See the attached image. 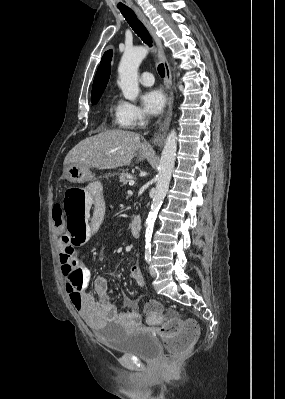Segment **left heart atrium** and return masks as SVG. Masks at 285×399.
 Segmentation results:
<instances>
[{"label":"left heart atrium","mask_w":285,"mask_h":399,"mask_svg":"<svg viewBox=\"0 0 285 399\" xmlns=\"http://www.w3.org/2000/svg\"><path fill=\"white\" fill-rule=\"evenodd\" d=\"M165 102V96L158 89L149 90L142 96L143 106L151 115L159 114L163 110Z\"/></svg>","instance_id":"39dd6f15"}]
</instances>
